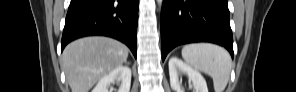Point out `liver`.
Listing matches in <instances>:
<instances>
[{"mask_svg":"<svg viewBox=\"0 0 296 92\" xmlns=\"http://www.w3.org/2000/svg\"><path fill=\"white\" fill-rule=\"evenodd\" d=\"M128 57L127 47L108 37H85L68 44L60 65L72 92H89L94 84Z\"/></svg>","mask_w":296,"mask_h":92,"instance_id":"obj_1","label":"liver"}]
</instances>
